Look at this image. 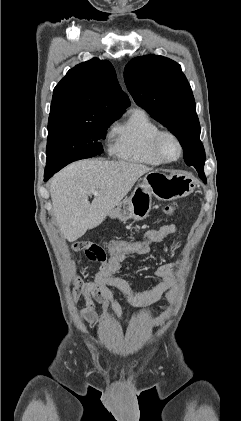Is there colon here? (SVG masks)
I'll use <instances>...</instances> for the list:
<instances>
[{
	"instance_id": "5ec220e1",
	"label": "colon",
	"mask_w": 241,
	"mask_h": 421,
	"mask_svg": "<svg viewBox=\"0 0 241 421\" xmlns=\"http://www.w3.org/2000/svg\"><path fill=\"white\" fill-rule=\"evenodd\" d=\"M175 206L166 207V214L170 215L174 212ZM151 243L137 240H112L106 243L95 242H77L73 245L76 251H82L86 256L94 262L104 263L107 253L111 255H143L150 251Z\"/></svg>"
}]
</instances>
